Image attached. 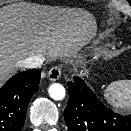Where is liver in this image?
<instances>
[{"label":"liver","mask_w":131,"mask_h":131,"mask_svg":"<svg viewBox=\"0 0 131 131\" xmlns=\"http://www.w3.org/2000/svg\"><path fill=\"white\" fill-rule=\"evenodd\" d=\"M90 13H76L31 4L0 9V85L18 62L32 55L68 56L96 33Z\"/></svg>","instance_id":"1"}]
</instances>
